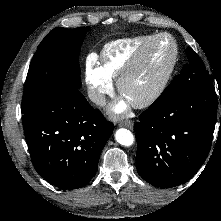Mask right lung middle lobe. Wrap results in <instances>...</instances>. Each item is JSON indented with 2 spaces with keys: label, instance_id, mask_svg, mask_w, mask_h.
<instances>
[{
  "label": "right lung middle lobe",
  "instance_id": "1",
  "mask_svg": "<svg viewBox=\"0 0 221 221\" xmlns=\"http://www.w3.org/2000/svg\"><path fill=\"white\" fill-rule=\"evenodd\" d=\"M90 27L55 28L40 43L29 66L22 113L46 92L63 85L81 86L78 55Z\"/></svg>",
  "mask_w": 221,
  "mask_h": 221
}]
</instances>
